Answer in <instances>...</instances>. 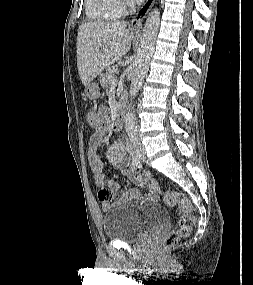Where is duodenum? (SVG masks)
<instances>
[{"instance_id": "obj_1", "label": "duodenum", "mask_w": 253, "mask_h": 285, "mask_svg": "<svg viewBox=\"0 0 253 285\" xmlns=\"http://www.w3.org/2000/svg\"><path fill=\"white\" fill-rule=\"evenodd\" d=\"M126 113V105L124 102H121L117 107V113L115 116L114 127L115 129H121L124 124Z\"/></svg>"}]
</instances>
